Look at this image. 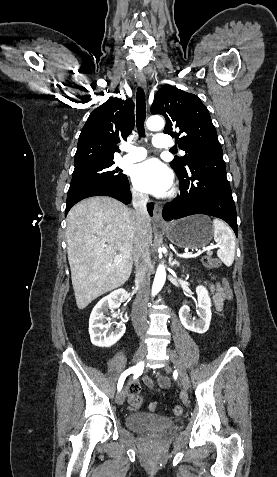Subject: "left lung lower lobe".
I'll return each mask as SVG.
<instances>
[{
  "label": "left lung lower lobe",
  "mask_w": 277,
  "mask_h": 477,
  "mask_svg": "<svg viewBox=\"0 0 277 477\" xmlns=\"http://www.w3.org/2000/svg\"><path fill=\"white\" fill-rule=\"evenodd\" d=\"M180 195L165 205L166 221L193 214H206L226 221L238 235L236 208L226 177L222 151L204 152L191 157L183 171H175Z\"/></svg>",
  "instance_id": "1"
}]
</instances>
